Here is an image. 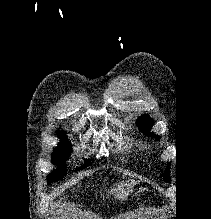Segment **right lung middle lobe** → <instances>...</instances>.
<instances>
[{"instance_id":"1","label":"right lung middle lobe","mask_w":211,"mask_h":219,"mask_svg":"<svg viewBox=\"0 0 211 219\" xmlns=\"http://www.w3.org/2000/svg\"><path fill=\"white\" fill-rule=\"evenodd\" d=\"M59 136L61 138V142L59 143V146L54 149V154L52 156V163L59 165V167L48 175V184L57 181L59 179H62L63 176L66 175V172L64 171L65 165L63 164L70 156L71 145L69 141L66 140L65 133L62 132V134H60ZM90 164L91 161L86 160L82 168L87 167Z\"/></svg>"}]
</instances>
